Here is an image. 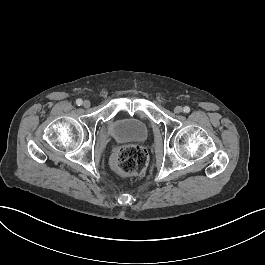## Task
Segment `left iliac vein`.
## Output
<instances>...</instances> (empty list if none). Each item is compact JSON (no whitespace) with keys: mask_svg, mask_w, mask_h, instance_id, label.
Here are the masks:
<instances>
[{"mask_svg":"<svg viewBox=\"0 0 265 265\" xmlns=\"http://www.w3.org/2000/svg\"><path fill=\"white\" fill-rule=\"evenodd\" d=\"M183 111V109H182V107L181 106H176L175 108H174V112L175 113H181Z\"/></svg>","mask_w":265,"mask_h":265,"instance_id":"left-iliac-vein-1","label":"left iliac vein"}]
</instances>
